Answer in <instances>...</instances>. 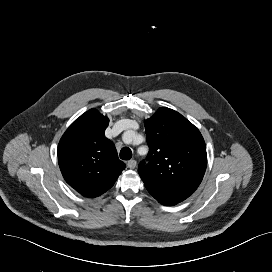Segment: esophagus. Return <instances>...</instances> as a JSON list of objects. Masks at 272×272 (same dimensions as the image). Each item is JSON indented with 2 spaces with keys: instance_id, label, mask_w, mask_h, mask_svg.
Here are the masks:
<instances>
[{
  "instance_id": "34e87169",
  "label": "esophagus",
  "mask_w": 272,
  "mask_h": 272,
  "mask_svg": "<svg viewBox=\"0 0 272 272\" xmlns=\"http://www.w3.org/2000/svg\"><path fill=\"white\" fill-rule=\"evenodd\" d=\"M137 163L135 160H130L128 161L127 163V167L130 168V169H134L136 167Z\"/></svg>"
}]
</instances>
